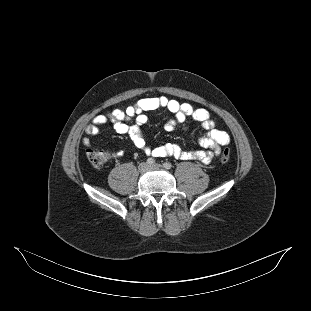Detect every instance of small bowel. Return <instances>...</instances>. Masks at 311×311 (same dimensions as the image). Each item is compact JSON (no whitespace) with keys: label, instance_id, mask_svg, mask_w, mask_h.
<instances>
[{"label":"small bowel","instance_id":"small-bowel-1","mask_svg":"<svg viewBox=\"0 0 311 311\" xmlns=\"http://www.w3.org/2000/svg\"><path fill=\"white\" fill-rule=\"evenodd\" d=\"M157 109H166L172 114V118L164 124V129L167 132L173 131L178 124L185 122L189 118L198 122L206 131L199 138L202 149L185 151L180 146L172 143L152 148L142 133V127L147 122L145 112ZM131 120L134 122L129 124ZM109 122L113 124L117 133L127 135L138 149L147 156L152 157L171 156L177 159L198 160L203 164H209L214 157L220 154L221 146L230 142L228 133L216 127L207 110L194 108L188 103H180L164 96L143 98L124 110L115 109L108 114L95 116L85 129L86 137L83 138V144L87 148H92L91 139L100 133L102 125ZM114 155L120 156L122 153L119 152Z\"/></svg>","mask_w":311,"mask_h":311}]
</instances>
